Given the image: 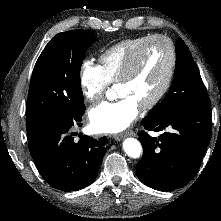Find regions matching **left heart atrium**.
I'll return each instance as SVG.
<instances>
[{"instance_id":"left-heart-atrium-1","label":"left heart atrium","mask_w":221,"mask_h":221,"mask_svg":"<svg viewBox=\"0 0 221 221\" xmlns=\"http://www.w3.org/2000/svg\"><path fill=\"white\" fill-rule=\"evenodd\" d=\"M139 105L130 97L122 96L115 102H103L89 112L92 127L100 133H118L128 128L137 118Z\"/></svg>"}]
</instances>
